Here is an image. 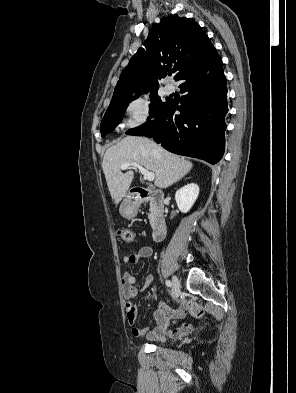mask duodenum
<instances>
[{
    "label": "duodenum",
    "instance_id": "410a0bca",
    "mask_svg": "<svg viewBox=\"0 0 296 393\" xmlns=\"http://www.w3.org/2000/svg\"><path fill=\"white\" fill-rule=\"evenodd\" d=\"M146 200H148L152 206L153 240L156 242H161L166 238L167 235L164 194L160 190L136 187L129 196V202L132 208L138 206L142 201Z\"/></svg>",
    "mask_w": 296,
    "mask_h": 393
}]
</instances>
